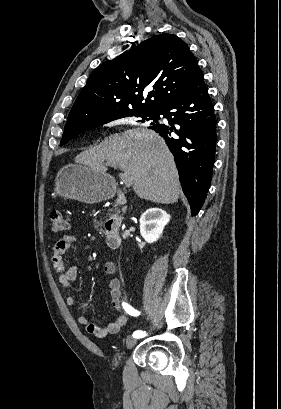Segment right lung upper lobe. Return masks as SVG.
Wrapping results in <instances>:
<instances>
[{
  "instance_id": "right-lung-upper-lobe-1",
  "label": "right lung upper lobe",
  "mask_w": 281,
  "mask_h": 409,
  "mask_svg": "<svg viewBox=\"0 0 281 409\" xmlns=\"http://www.w3.org/2000/svg\"><path fill=\"white\" fill-rule=\"evenodd\" d=\"M176 35L160 34L98 66L77 97L65 128L84 127L131 111L158 112L201 70Z\"/></svg>"
}]
</instances>
